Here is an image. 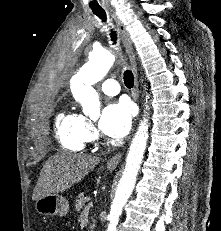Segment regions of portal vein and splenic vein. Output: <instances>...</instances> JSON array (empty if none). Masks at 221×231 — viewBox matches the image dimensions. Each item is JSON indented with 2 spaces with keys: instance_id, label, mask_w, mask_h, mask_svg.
<instances>
[{
  "instance_id": "18ae733b",
  "label": "portal vein and splenic vein",
  "mask_w": 221,
  "mask_h": 231,
  "mask_svg": "<svg viewBox=\"0 0 221 231\" xmlns=\"http://www.w3.org/2000/svg\"><path fill=\"white\" fill-rule=\"evenodd\" d=\"M93 206V202L89 201L88 205L85 207V209H89Z\"/></svg>"
}]
</instances>
